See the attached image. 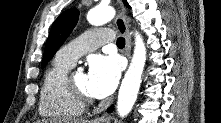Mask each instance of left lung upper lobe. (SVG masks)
<instances>
[{"mask_svg": "<svg viewBox=\"0 0 221 123\" xmlns=\"http://www.w3.org/2000/svg\"><path fill=\"white\" fill-rule=\"evenodd\" d=\"M127 7H130L126 0H123ZM79 19V10L76 8L68 9L63 12L55 20L52 25L49 37L46 41L44 57L41 68H44L47 63L53 58L54 54L67 39L73 28L76 26Z\"/></svg>", "mask_w": 221, "mask_h": 123, "instance_id": "obj_1", "label": "left lung upper lobe"}]
</instances>
